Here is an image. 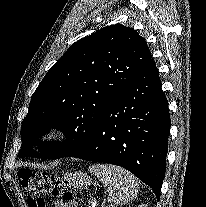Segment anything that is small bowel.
<instances>
[{"mask_svg": "<svg viewBox=\"0 0 206 207\" xmlns=\"http://www.w3.org/2000/svg\"><path fill=\"white\" fill-rule=\"evenodd\" d=\"M55 207H76V206L73 203H67L58 200L55 202Z\"/></svg>", "mask_w": 206, "mask_h": 207, "instance_id": "c3829d8e", "label": "small bowel"}]
</instances>
